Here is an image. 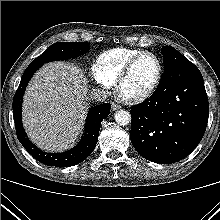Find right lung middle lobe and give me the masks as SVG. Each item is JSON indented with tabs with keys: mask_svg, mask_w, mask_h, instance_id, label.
I'll use <instances>...</instances> for the list:
<instances>
[{
	"mask_svg": "<svg viewBox=\"0 0 220 220\" xmlns=\"http://www.w3.org/2000/svg\"><path fill=\"white\" fill-rule=\"evenodd\" d=\"M90 49L86 42H57L51 45L42 55L34 59L30 65L42 66L50 61L75 58Z\"/></svg>",
	"mask_w": 220,
	"mask_h": 220,
	"instance_id": "dd1d6c3e",
	"label": "right lung middle lobe"
}]
</instances>
